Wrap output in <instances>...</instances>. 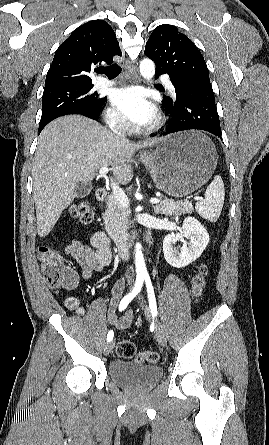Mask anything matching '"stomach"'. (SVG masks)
<instances>
[{
	"label": "stomach",
	"mask_w": 269,
	"mask_h": 445,
	"mask_svg": "<svg viewBox=\"0 0 269 445\" xmlns=\"http://www.w3.org/2000/svg\"><path fill=\"white\" fill-rule=\"evenodd\" d=\"M157 187L172 197L191 194L204 185L217 166L214 144L198 131L179 132L142 156Z\"/></svg>",
	"instance_id": "stomach-1"
}]
</instances>
